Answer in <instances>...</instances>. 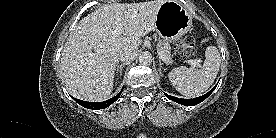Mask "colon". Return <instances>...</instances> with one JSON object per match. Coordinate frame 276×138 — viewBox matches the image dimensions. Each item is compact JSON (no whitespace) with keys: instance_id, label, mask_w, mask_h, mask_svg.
<instances>
[{"instance_id":"5ec220e1","label":"colon","mask_w":276,"mask_h":138,"mask_svg":"<svg viewBox=\"0 0 276 138\" xmlns=\"http://www.w3.org/2000/svg\"><path fill=\"white\" fill-rule=\"evenodd\" d=\"M195 39L193 37H185L182 39L176 48L175 59L178 62H182L189 57L196 55L197 51L194 48Z\"/></svg>"}]
</instances>
